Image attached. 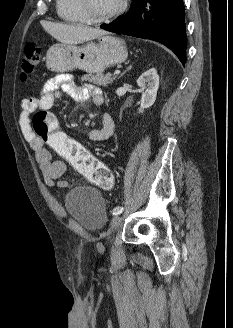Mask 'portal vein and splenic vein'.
<instances>
[{
    "label": "portal vein and splenic vein",
    "instance_id": "18ae733b",
    "mask_svg": "<svg viewBox=\"0 0 233 328\" xmlns=\"http://www.w3.org/2000/svg\"><path fill=\"white\" fill-rule=\"evenodd\" d=\"M118 74H120V71H119V70H116V71L114 72V75H118Z\"/></svg>",
    "mask_w": 233,
    "mask_h": 328
}]
</instances>
